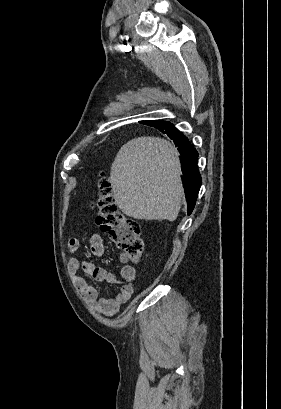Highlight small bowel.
I'll return each instance as SVG.
<instances>
[{
	"instance_id": "small-bowel-1",
	"label": "small bowel",
	"mask_w": 281,
	"mask_h": 409,
	"mask_svg": "<svg viewBox=\"0 0 281 409\" xmlns=\"http://www.w3.org/2000/svg\"><path fill=\"white\" fill-rule=\"evenodd\" d=\"M67 248L71 253H75L79 248V240L76 238L69 239ZM90 251L96 257H101L105 252L101 237L97 234H93L90 238ZM122 260H124V257H122ZM79 271L84 272L96 281L120 285V289L114 297L99 298L97 289L79 276L77 274ZM68 273L73 279L77 291L92 303L97 311L108 316L116 314L133 294L136 269L131 265H124L120 270V278H118L115 274L107 272L104 268L92 262L72 257L69 260Z\"/></svg>"
}]
</instances>
